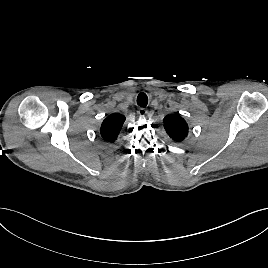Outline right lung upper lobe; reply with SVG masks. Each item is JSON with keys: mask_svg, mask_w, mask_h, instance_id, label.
<instances>
[{"mask_svg": "<svg viewBox=\"0 0 268 268\" xmlns=\"http://www.w3.org/2000/svg\"><path fill=\"white\" fill-rule=\"evenodd\" d=\"M124 121L125 116L119 113L106 117L100 128L102 138L108 142H114L122 129Z\"/></svg>", "mask_w": 268, "mask_h": 268, "instance_id": "1", "label": "right lung upper lobe"}]
</instances>
